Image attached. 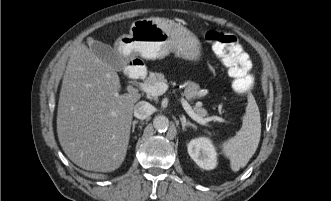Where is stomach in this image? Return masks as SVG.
Returning a JSON list of instances; mask_svg holds the SVG:
<instances>
[{
    "label": "stomach",
    "instance_id": "1",
    "mask_svg": "<svg viewBox=\"0 0 331 201\" xmlns=\"http://www.w3.org/2000/svg\"><path fill=\"white\" fill-rule=\"evenodd\" d=\"M124 56L139 55L147 60L161 59L169 53L186 60L197 61L201 56L198 38L172 20L151 17L134 21L129 34L116 40Z\"/></svg>",
    "mask_w": 331,
    "mask_h": 201
}]
</instances>
